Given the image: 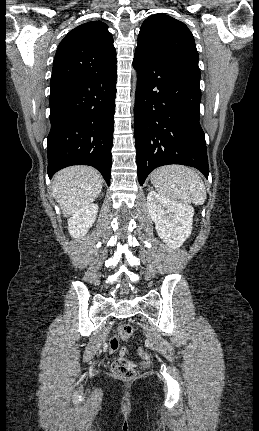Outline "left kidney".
I'll return each instance as SVG.
<instances>
[{
  "instance_id": "obj_1",
  "label": "left kidney",
  "mask_w": 259,
  "mask_h": 431,
  "mask_svg": "<svg viewBox=\"0 0 259 431\" xmlns=\"http://www.w3.org/2000/svg\"><path fill=\"white\" fill-rule=\"evenodd\" d=\"M149 215L165 244L176 249L191 235L194 208L151 190L147 195Z\"/></svg>"
}]
</instances>
